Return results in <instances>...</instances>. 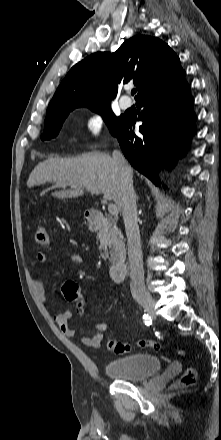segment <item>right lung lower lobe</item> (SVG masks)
<instances>
[{
  "mask_svg": "<svg viewBox=\"0 0 221 440\" xmlns=\"http://www.w3.org/2000/svg\"><path fill=\"white\" fill-rule=\"evenodd\" d=\"M194 99L185 79L159 93L137 101L143 107L138 120L143 122L138 137L132 132L131 118L125 117L113 134L125 157L139 172L158 185L160 162L167 159L173 167L179 156L185 155L195 133Z\"/></svg>",
  "mask_w": 221,
  "mask_h": 440,
  "instance_id": "1",
  "label": "right lung lower lobe"
}]
</instances>
